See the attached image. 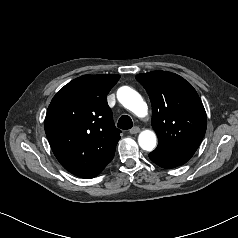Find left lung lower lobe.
I'll return each mask as SVG.
<instances>
[{
    "label": "left lung lower lobe",
    "instance_id": "obj_1",
    "mask_svg": "<svg viewBox=\"0 0 238 238\" xmlns=\"http://www.w3.org/2000/svg\"><path fill=\"white\" fill-rule=\"evenodd\" d=\"M191 157L190 154L173 152L159 145L149 154L150 160L162 168H175L186 163Z\"/></svg>",
    "mask_w": 238,
    "mask_h": 238
}]
</instances>
